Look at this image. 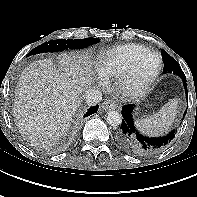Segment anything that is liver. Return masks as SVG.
<instances>
[{
    "label": "liver",
    "instance_id": "6515ba94",
    "mask_svg": "<svg viewBox=\"0 0 197 197\" xmlns=\"http://www.w3.org/2000/svg\"><path fill=\"white\" fill-rule=\"evenodd\" d=\"M60 66L51 59L31 63L20 75L14 99V117L21 134L34 146L51 147L66 134L93 83L88 56L61 54Z\"/></svg>",
    "mask_w": 197,
    "mask_h": 197
}]
</instances>
